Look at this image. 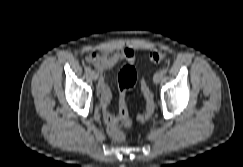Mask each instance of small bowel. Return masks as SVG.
I'll return each instance as SVG.
<instances>
[{
    "mask_svg": "<svg viewBox=\"0 0 243 167\" xmlns=\"http://www.w3.org/2000/svg\"><path fill=\"white\" fill-rule=\"evenodd\" d=\"M135 52L130 48L116 50L114 52H93L87 58V61L96 69L98 76L97 93L100 98L103 118L107 126L118 121L120 110L126 107L124 93L119 95V113L114 114L110 111L109 105L112 98V92L106 83L105 71L113 68L118 62L125 60L129 64L135 62Z\"/></svg>",
    "mask_w": 243,
    "mask_h": 167,
    "instance_id": "small-bowel-1",
    "label": "small bowel"
}]
</instances>
